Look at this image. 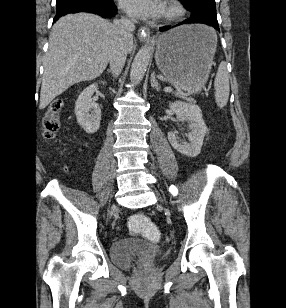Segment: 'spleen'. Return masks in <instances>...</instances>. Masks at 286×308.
Instances as JSON below:
<instances>
[{"label": "spleen", "mask_w": 286, "mask_h": 308, "mask_svg": "<svg viewBox=\"0 0 286 308\" xmlns=\"http://www.w3.org/2000/svg\"><path fill=\"white\" fill-rule=\"evenodd\" d=\"M215 101L219 108L224 107L229 99V75L226 69V63L221 62L214 81Z\"/></svg>", "instance_id": "1"}]
</instances>
